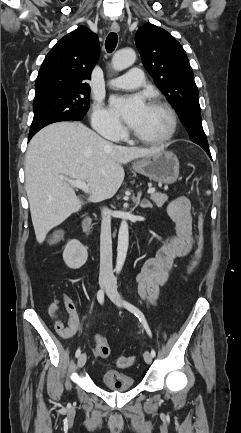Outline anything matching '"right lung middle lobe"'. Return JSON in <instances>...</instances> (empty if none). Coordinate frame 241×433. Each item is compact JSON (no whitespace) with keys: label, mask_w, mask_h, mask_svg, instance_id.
Returning a JSON list of instances; mask_svg holds the SVG:
<instances>
[{"label":"right lung middle lobe","mask_w":241,"mask_h":433,"mask_svg":"<svg viewBox=\"0 0 241 433\" xmlns=\"http://www.w3.org/2000/svg\"><path fill=\"white\" fill-rule=\"evenodd\" d=\"M89 107L88 93H55L35 97L29 134L59 121L81 120Z\"/></svg>","instance_id":"1"}]
</instances>
